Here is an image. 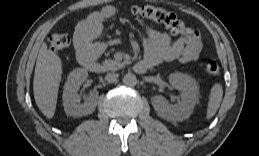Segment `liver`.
<instances>
[{"mask_svg":"<svg viewBox=\"0 0 259 156\" xmlns=\"http://www.w3.org/2000/svg\"><path fill=\"white\" fill-rule=\"evenodd\" d=\"M61 75V59L43 43L36 61L33 92L38 108L48 119L55 114Z\"/></svg>","mask_w":259,"mask_h":156,"instance_id":"1","label":"liver"}]
</instances>
